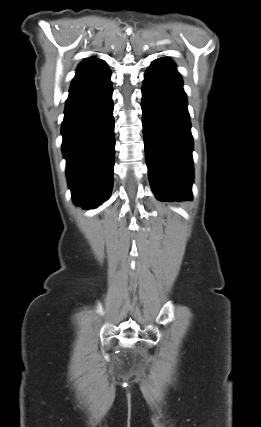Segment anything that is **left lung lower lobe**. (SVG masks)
Here are the masks:
<instances>
[{"label": "left lung lower lobe", "instance_id": "obj_1", "mask_svg": "<svg viewBox=\"0 0 261 427\" xmlns=\"http://www.w3.org/2000/svg\"><path fill=\"white\" fill-rule=\"evenodd\" d=\"M142 124L150 185L158 200H191V124L183 82L173 62L162 57L146 71Z\"/></svg>", "mask_w": 261, "mask_h": 427}]
</instances>
